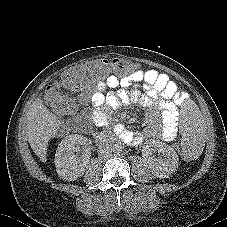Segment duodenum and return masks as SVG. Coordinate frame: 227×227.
Listing matches in <instances>:
<instances>
[{
    "label": "duodenum",
    "mask_w": 227,
    "mask_h": 227,
    "mask_svg": "<svg viewBox=\"0 0 227 227\" xmlns=\"http://www.w3.org/2000/svg\"><path fill=\"white\" fill-rule=\"evenodd\" d=\"M95 137H96V139L98 140V141H106V140H108V139H111V135L110 134H108V133H97L96 135H95Z\"/></svg>",
    "instance_id": "410a0bca"
}]
</instances>
